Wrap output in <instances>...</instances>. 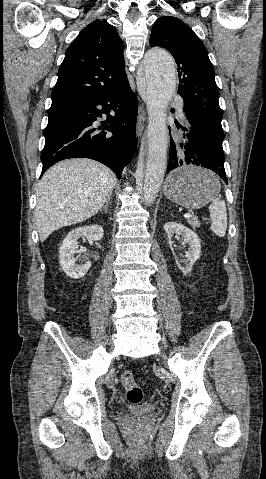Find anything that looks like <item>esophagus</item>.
<instances>
[{"instance_id":"esophagus-1","label":"esophagus","mask_w":266,"mask_h":479,"mask_svg":"<svg viewBox=\"0 0 266 479\" xmlns=\"http://www.w3.org/2000/svg\"><path fill=\"white\" fill-rule=\"evenodd\" d=\"M145 121H146V113L143 106H140L138 111L137 126H136V133L138 137H140L143 132Z\"/></svg>"}]
</instances>
